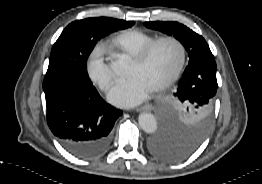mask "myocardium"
I'll return each mask as SVG.
<instances>
[{
	"mask_svg": "<svg viewBox=\"0 0 262 184\" xmlns=\"http://www.w3.org/2000/svg\"><path fill=\"white\" fill-rule=\"evenodd\" d=\"M163 42H172V43H174L178 46V48L180 50V60H179V63L177 65L176 69L173 71V73L167 79H165L162 83H160L159 85H157L156 87H154L152 89L155 92L165 90L166 88L171 86L181 75V73H182V71L185 67L186 59H187V51H186L185 44L179 38H177L175 36L159 37V38L155 39L154 41H152L147 46H145L141 51H139L132 58V61L136 64L144 63L149 58V56L151 55L153 50L159 44H161Z\"/></svg>",
	"mask_w": 262,
	"mask_h": 184,
	"instance_id": "1",
	"label": "myocardium"
}]
</instances>
